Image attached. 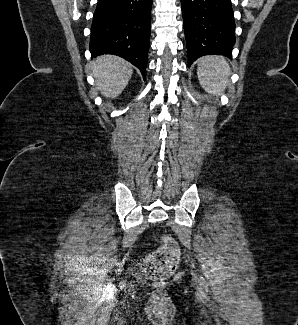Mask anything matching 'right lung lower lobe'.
Listing matches in <instances>:
<instances>
[{"instance_id": "right-lung-lower-lobe-1", "label": "right lung lower lobe", "mask_w": 298, "mask_h": 325, "mask_svg": "<svg viewBox=\"0 0 298 325\" xmlns=\"http://www.w3.org/2000/svg\"><path fill=\"white\" fill-rule=\"evenodd\" d=\"M152 0H98L90 36L92 57L118 55L146 76Z\"/></svg>"}]
</instances>
